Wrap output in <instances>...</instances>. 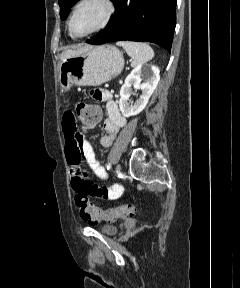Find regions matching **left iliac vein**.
<instances>
[{"label": "left iliac vein", "mask_w": 240, "mask_h": 288, "mask_svg": "<svg viewBox=\"0 0 240 288\" xmlns=\"http://www.w3.org/2000/svg\"><path fill=\"white\" fill-rule=\"evenodd\" d=\"M115 172H116L117 174L121 173V166H120L119 164L116 166Z\"/></svg>", "instance_id": "4c4485c4"}]
</instances>
